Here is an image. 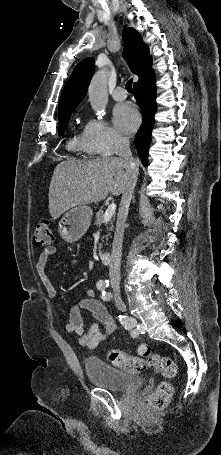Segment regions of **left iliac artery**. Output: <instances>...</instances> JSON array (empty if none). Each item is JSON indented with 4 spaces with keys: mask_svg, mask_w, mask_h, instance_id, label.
I'll list each match as a JSON object with an SVG mask.
<instances>
[{
    "mask_svg": "<svg viewBox=\"0 0 221 455\" xmlns=\"http://www.w3.org/2000/svg\"><path fill=\"white\" fill-rule=\"evenodd\" d=\"M109 297H110L109 293L106 294V295H105V293H102V299H104V300L107 299V298L109 299Z\"/></svg>",
    "mask_w": 221,
    "mask_h": 455,
    "instance_id": "44dca946",
    "label": "left iliac artery"
}]
</instances>
